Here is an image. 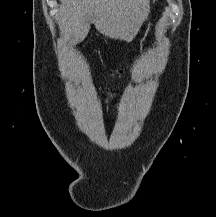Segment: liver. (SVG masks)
Here are the masks:
<instances>
[{"label":"liver","instance_id":"liver-1","mask_svg":"<svg viewBox=\"0 0 216 217\" xmlns=\"http://www.w3.org/2000/svg\"><path fill=\"white\" fill-rule=\"evenodd\" d=\"M150 0H61L57 21L61 35L83 41L90 24L107 37L130 41L149 13Z\"/></svg>","mask_w":216,"mask_h":217}]
</instances>
